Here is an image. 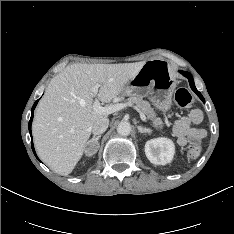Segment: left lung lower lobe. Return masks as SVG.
<instances>
[{"label":"left lung lower lobe","mask_w":234,"mask_h":234,"mask_svg":"<svg viewBox=\"0 0 234 234\" xmlns=\"http://www.w3.org/2000/svg\"><path fill=\"white\" fill-rule=\"evenodd\" d=\"M181 73H182L185 77H187V78L189 79V83H190V86H191L192 90L200 97V99H201L202 101H204L203 96H202L201 93L196 89V87H195V85H194V80H193L191 74L188 73V72H185V71H181Z\"/></svg>","instance_id":"0a47b994"}]
</instances>
